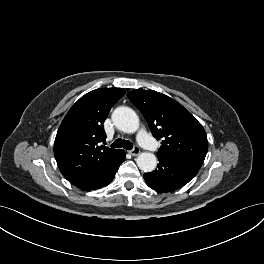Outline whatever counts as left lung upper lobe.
I'll return each mask as SVG.
<instances>
[{"label": "left lung upper lobe", "instance_id": "obj_1", "mask_svg": "<svg viewBox=\"0 0 264 264\" xmlns=\"http://www.w3.org/2000/svg\"><path fill=\"white\" fill-rule=\"evenodd\" d=\"M127 97L140 110L151 132L162 140L157 156L202 166L208 140L202 125L181 104L153 90H133Z\"/></svg>", "mask_w": 264, "mask_h": 264}]
</instances>
